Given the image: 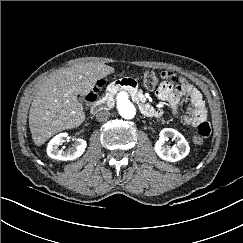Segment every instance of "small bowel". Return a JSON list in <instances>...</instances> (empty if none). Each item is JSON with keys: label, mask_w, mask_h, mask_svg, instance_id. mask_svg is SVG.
I'll use <instances>...</instances> for the list:
<instances>
[{"label": "small bowel", "mask_w": 243, "mask_h": 243, "mask_svg": "<svg viewBox=\"0 0 243 243\" xmlns=\"http://www.w3.org/2000/svg\"><path fill=\"white\" fill-rule=\"evenodd\" d=\"M162 75L163 81L155 92L156 97L168 102L174 115L178 114L181 100L186 98L190 104L184 116V122L196 128L199 135L207 138L211 133V127L207 120V110L200 91L184 77H179L172 72H163ZM154 115L158 118L161 117L163 110L156 109Z\"/></svg>", "instance_id": "c3829d8e"}]
</instances>
